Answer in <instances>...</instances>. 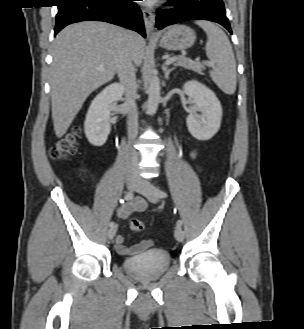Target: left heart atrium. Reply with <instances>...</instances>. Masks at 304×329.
I'll use <instances>...</instances> for the list:
<instances>
[{
	"mask_svg": "<svg viewBox=\"0 0 304 329\" xmlns=\"http://www.w3.org/2000/svg\"><path fill=\"white\" fill-rule=\"evenodd\" d=\"M155 0H143L145 4L151 5Z\"/></svg>",
	"mask_w": 304,
	"mask_h": 329,
	"instance_id": "obj_1",
	"label": "left heart atrium"
}]
</instances>
